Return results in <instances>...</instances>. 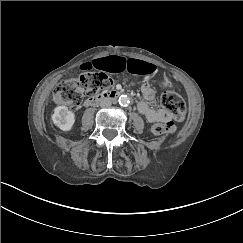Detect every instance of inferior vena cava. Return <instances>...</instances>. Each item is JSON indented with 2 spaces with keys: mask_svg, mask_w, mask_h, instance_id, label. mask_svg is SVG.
Here are the masks:
<instances>
[{
  "mask_svg": "<svg viewBox=\"0 0 243 243\" xmlns=\"http://www.w3.org/2000/svg\"><path fill=\"white\" fill-rule=\"evenodd\" d=\"M111 105H112V102L108 98H104L100 102V107H102V108H109Z\"/></svg>",
  "mask_w": 243,
  "mask_h": 243,
  "instance_id": "1",
  "label": "inferior vena cava"
}]
</instances>
